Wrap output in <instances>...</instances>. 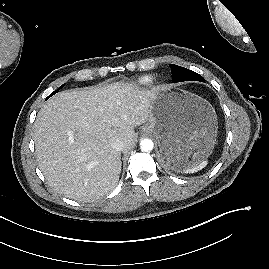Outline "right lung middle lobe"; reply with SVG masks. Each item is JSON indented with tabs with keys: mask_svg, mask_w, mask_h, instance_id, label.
I'll use <instances>...</instances> for the list:
<instances>
[{
	"mask_svg": "<svg viewBox=\"0 0 269 269\" xmlns=\"http://www.w3.org/2000/svg\"><path fill=\"white\" fill-rule=\"evenodd\" d=\"M63 86H64V85L60 86L59 89H61ZM57 92H58V90L54 91L52 94H50V95L48 96V98L51 97L53 94H55V93H57ZM48 98H47V99H48Z\"/></svg>",
	"mask_w": 269,
	"mask_h": 269,
	"instance_id": "right-lung-middle-lobe-1",
	"label": "right lung middle lobe"
}]
</instances>
